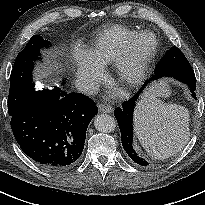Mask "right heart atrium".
Instances as JSON below:
<instances>
[{
  "mask_svg": "<svg viewBox=\"0 0 205 205\" xmlns=\"http://www.w3.org/2000/svg\"><path fill=\"white\" fill-rule=\"evenodd\" d=\"M71 59L76 67V76L82 87L87 91L93 90L98 81V66L81 48L73 50Z\"/></svg>",
  "mask_w": 205,
  "mask_h": 205,
  "instance_id": "d8ad5b80",
  "label": "right heart atrium"
}]
</instances>
